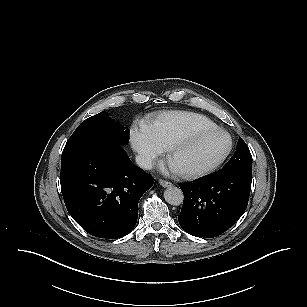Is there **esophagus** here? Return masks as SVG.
<instances>
[{
	"instance_id": "34e87169",
	"label": "esophagus",
	"mask_w": 307,
	"mask_h": 307,
	"mask_svg": "<svg viewBox=\"0 0 307 307\" xmlns=\"http://www.w3.org/2000/svg\"><path fill=\"white\" fill-rule=\"evenodd\" d=\"M159 184H160L162 187H170V186H172V183H171V182L166 181V180H163V179H160V180H159Z\"/></svg>"
}]
</instances>
